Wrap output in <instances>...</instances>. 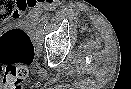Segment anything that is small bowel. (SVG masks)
<instances>
[{
  "instance_id": "small-bowel-1",
  "label": "small bowel",
  "mask_w": 131,
  "mask_h": 89,
  "mask_svg": "<svg viewBox=\"0 0 131 89\" xmlns=\"http://www.w3.org/2000/svg\"><path fill=\"white\" fill-rule=\"evenodd\" d=\"M35 13H36V15H38V14H40V13H41V11H40V10H38V11H36Z\"/></svg>"
}]
</instances>
